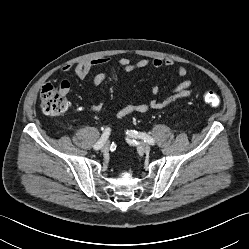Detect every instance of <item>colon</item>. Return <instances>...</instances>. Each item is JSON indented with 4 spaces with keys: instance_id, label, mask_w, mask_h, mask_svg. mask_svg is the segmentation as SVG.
<instances>
[{
    "instance_id": "1",
    "label": "colon",
    "mask_w": 249,
    "mask_h": 249,
    "mask_svg": "<svg viewBox=\"0 0 249 249\" xmlns=\"http://www.w3.org/2000/svg\"><path fill=\"white\" fill-rule=\"evenodd\" d=\"M203 100L212 108H217L221 103L220 97L211 90L204 91ZM40 106L45 114L56 116L67 111L69 102L60 89L45 84L40 91Z\"/></svg>"
}]
</instances>
